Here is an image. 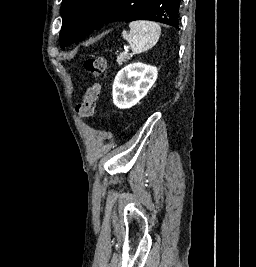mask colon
<instances>
[{
	"label": "colon",
	"mask_w": 256,
	"mask_h": 267,
	"mask_svg": "<svg viewBox=\"0 0 256 267\" xmlns=\"http://www.w3.org/2000/svg\"><path fill=\"white\" fill-rule=\"evenodd\" d=\"M84 68L91 75H100L107 68V62L104 57H89L84 62ZM101 93V85L92 84L86 95L75 105V112L83 119H89L93 116L96 103Z\"/></svg>",
	"instance_id": "5ec220e1"
}]
</instances>
